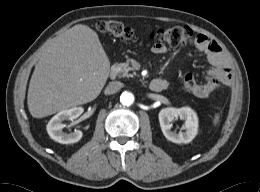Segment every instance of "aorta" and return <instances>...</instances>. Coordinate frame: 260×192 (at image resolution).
I'll return each instance as SVG.
<instances>
[{
    "instance_id": "1",
    "label": "aorta",
    "mask_w": 260,
    "mask_h": 192,
    "mask_svg": "<svg viewBox=\"0 0 260 192\" xmlns=\"http://www.w3.org/2000/svg\"><path fill=\"white\" fill-rule=\"evenodd\" d=\"M120 102L124 106H130L134 102V95L131 92L124 91L120 96Z\"/></svg>"
}]
</instances>
